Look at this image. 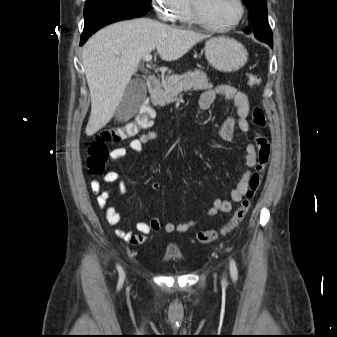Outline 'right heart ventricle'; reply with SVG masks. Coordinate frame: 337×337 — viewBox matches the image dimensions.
Returning a JSON list of instances; mask_svg holds the SVG:
<instances>
[{
	"label": "right heart ventricle",
	"instance_id": "right-heart-ventricle-1",
	"mask_svg": "<svg viewBox=\"0 0 337 337\" xmlns=\"http://www.w3.org/2000/svg\"><path fill=\"white\" fill-rule=\"evenodd\" d=\"M176 20L184 25H190L194 23V20L190 12L188 0H182L181 7L176 15Z\"/></svg>",
	"mask_w": 337,
	"mask_h": 337
}]
</instances>
